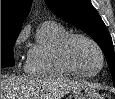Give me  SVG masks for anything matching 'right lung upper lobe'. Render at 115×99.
Wrapping results in <instances>:
<instances>
[{
    "instance_id": "obj_1",
    "label": "right lung upper lobe",
    "mask_w": 115,
    "mask_h": 99,
    "mask_svg": "<svg viewBox=\"0 0 115 99\" xmlns=\"http://www.w3.org/2000/svg\"><path fill=\"white\" fill-rule=\"evenodd\" d=\"M32 0H1V34H19Z\"/></svg>"
}]
</instances>
